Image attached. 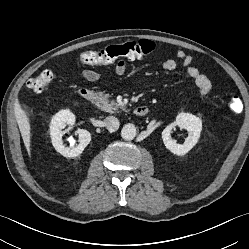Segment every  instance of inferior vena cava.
Here are the masks:
<instances>
[{"mask_svg":"<svg viewBox=\"0 0 249 249\" xmlns=\"http://www.w3.org/2000/svg\"><path fill=\"white\" fill-rule=\"evenodd\" d=\"M119 125H120L119 120L114 116H108L105 119V126L110 132L117 131L119 128Z\"/></svg>","mask_w":249,"mask_h":249,"instance_id":"inferior-vena-cava-1","label":"inferior vena cava"}]
</instances>
